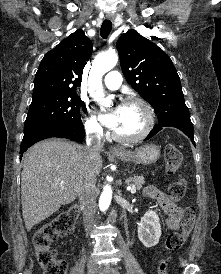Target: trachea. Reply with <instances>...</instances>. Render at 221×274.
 I'll use <instances>...</instances> for the list:
<instances>
[{
	"label": "trachea",
	"instance_id": "trachea-1",
	"mask_svg": "<svg viewBox=\"0 0 221 274\" xmlns=\"http://www.w3.org/2000/svg\"><path fill=\"white\" fill-rule=\"evenodd\" d=\"M112 30V22L110 20H104L101 26L100 35L103 39H106Z\"/></svg>",
	"mask_w": 221,
	"mask_h": 274
}]
</instances>
